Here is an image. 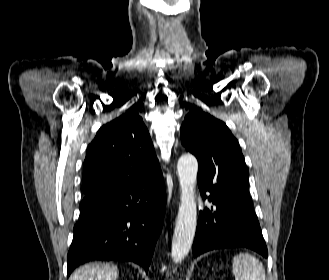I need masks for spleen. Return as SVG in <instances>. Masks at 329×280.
Listing matches in <instances>:
<instances>
[{"instance_id":"obj_1","label":"spleen","mask_w":329,"mask_h":280,"mask_svg":"<svg viewBox=\"0 0 329 280\" xmlns=\"http://www.w3.org/2000/svg\"><path fill=\"white\" fill-rule=\"evenodd\" d=\"M235 280H265L262 263L253 255L241 253L232 261Z\"/></svg>"}]
</instances>
